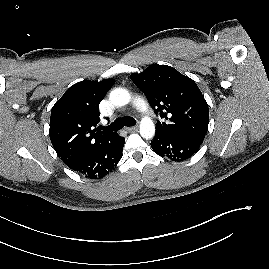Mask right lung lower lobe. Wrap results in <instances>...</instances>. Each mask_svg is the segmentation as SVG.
Here are the masks:
<instances>
[{
    "label": "right lung lower lobe",
    "instance_id": "right-lung-lower-lobe-1",
    "mask_svg": "<svg viewBox=\"0 0 269 269\" xmlns=\"http://www.w3.org/2000/svg\"><path fill=\"white\" fill-rule=\"evenodd\" d=\"M125 138L116 134L109 142L87 154L70 168L87 178H101L116 167L122 157Z\"/></svg>",
    "mask_w": 269,
    "mask_h": 269
}]
</instances>
